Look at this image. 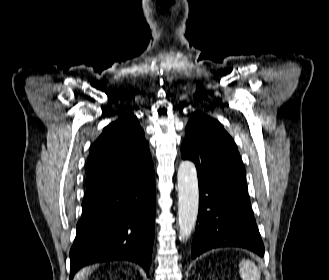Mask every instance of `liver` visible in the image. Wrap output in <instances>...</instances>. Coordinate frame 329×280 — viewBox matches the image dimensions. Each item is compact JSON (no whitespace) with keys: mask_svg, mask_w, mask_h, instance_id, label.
<instances>
[{"mask_svg":"<svg viewBox=\"0 0 329 280\" xmlns=\"http://www.w3.org/2000/svg\"><path fill=\"white\" fill-rule=\"evenodd\" d=\"M86 269L82 272V275L84 276L86 274ZM77 280H80V279H77Z\"/></svg>","mask_w":329,"mask_h":280,"instance_id":"6515ba94","label":"liver"}]
</instances>
